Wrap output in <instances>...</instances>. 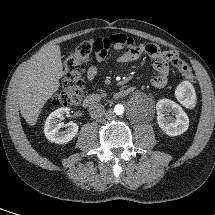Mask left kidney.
Returning a JSON list of instances; mask_svg holds the SVG:
<instances>
[{"mask_svg":"<svg viewBox=\"0 0 215 215\" xmlns=\"http://www.w3.org/2000/svg\"><path fill=\"white\" fill-rule=\"evenodd\" d=\"M156 110L157 123L168 136H178L187 131L189 118L180 105L169 99H161L156 104Z\"/></svg>","mask_w":215,"mask_h":215,"instance_id":"obj_1","label":"left kidney"}]
</instances>
